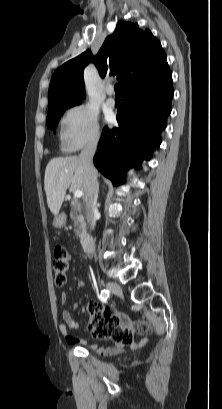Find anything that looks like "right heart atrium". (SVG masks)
Wrapping results in <instances>:
<instances>
[{
	"instance_id": "obj_1",
	"label": "right heart atrium",
	"mask_w": 222,
	"mask_h": 409,
	"mask_svg": "<svg viewBox=\"0 0 222 409\" xmlns=\"http://www.w3.org/2000/svg\"><path fill=\"white\" fill-rule=\"evenodd\" d=\"M60 126L61 143L67 151H75L85 145H95L101 137L98 115L85 104L69 108L63 115Z\"/></svg>"
}]
</instances>
